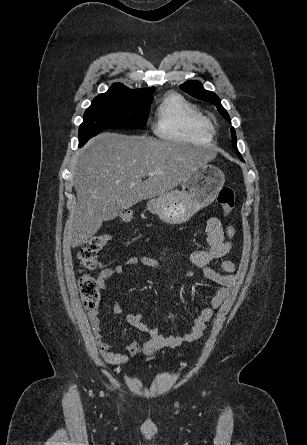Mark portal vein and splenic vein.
I'll return each instance as SVG.
<instances>
[{"label": "portal vein and splenic vein", "mask_w": 307, "mask_h": 445, "mask_svg": "<svg viewBox=\"0 0 307 445\" xmlns=\"http://www.w3.org/2000/svg\"><path fill=\"white\" fill-rule=\"evenodd\" d=\"M148 174H163L161 170H155V172H148Z\"/></svg>", "instance_id": "portal-vein-and-splenic-vein-1"}]
</instances>
